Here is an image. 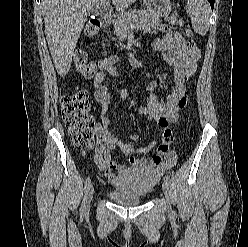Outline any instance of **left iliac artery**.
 Returning a JSON list of instances; mask_svg holds the SVG:
<instances>
[{
  "label": "left iliac artery",
  "instance_id": "1",
  "mask_svg": "<svg viewBox=\"0 0 248 247\" xmlns=\"http://www.w3.org/2000/svg\"><path fill=\"white\" fill-rule=\"evenodd\" d=\"M165 178H166V179H168V180H169V182H170V178H169V176H165ZM165 178H164V179H165Z\"/></svg>",
  "mask_w": 248,
  "mask_h": 247
}]
</instances>
